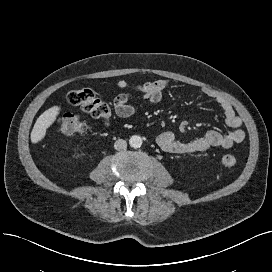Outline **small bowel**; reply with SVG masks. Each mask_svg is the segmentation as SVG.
Segmentation results:
<instances>
[{
  "label": "small bowel",
  "mask_w": 272,
  "mask_h": 272,
  "mask_svg": "<svg viewBox=\"0 0 272 272\" xmlns=\"http://www.w3.org/2000/svg\"><path fill=\"white\" fill-rule=\"evenodd\" d=\"M168 85L169 81L166 79L149 81L137 85H131L126 80H119L117 82L119 88H134L139 98L153 104L161 101L163 92ZM203 94L218 104L222 110L225 124L230 130L227 133L210 130L204 135L190 141L179 140L172 132H162L157 137V143L164 151L173 154H187L205 151L212 147L228 149L244 140L245 133L242 130L243 120L236 114L231 103L213 89H203ZM131 99L132 95L129 93H121L114 99V109L117 116L129 118L135 114L136 108L130 103Z\"/></svg>",
  "instance_id": "small-bowel-1"
}]
</instances>
